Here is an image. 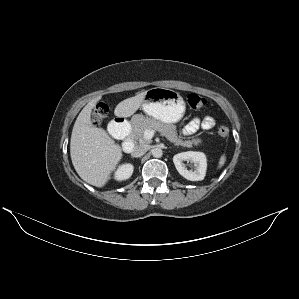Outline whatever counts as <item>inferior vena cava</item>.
<instances>
[{"instance_id": "602c4592", "label": "inferior vena cava", "mask_w": 299, "mask_h": 299, "mask_svg": "<svg viewBox=\"0 0 299 299\" xmlns=\"http://www.w3.org/2000/svg\"><path fill=\"white\" fill-rule=\"evenodd\" d=\"M148 150V145H144V144H140L135 146L132 151H131V155L133 157H141L143 156Z\"/></svg>"}]
</instances>
